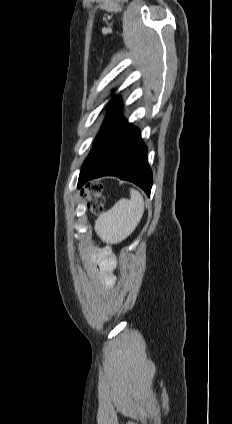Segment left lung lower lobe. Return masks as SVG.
I'll return each mask as SVG.
<instances>
[{
  "mask_svg": "<svg viewBox=\"0 0 232 424\" xmlns=\"http://www.w3.org/2000/svg\"><path fill=\"white\" fill-rule=\"evenodd\" d=\"M146 153L139 130L119 118L114 119L89 153L80 172L78 188L93 178L113 175L134 182L150 196L152 172Z\"/></svg>",
  "mask_w": 232,
  "mask_h": 424,
  "instance_id": "left-lung-lower-lobe-1",
  "label": "left lung lower lobe"
}]
</instances>
